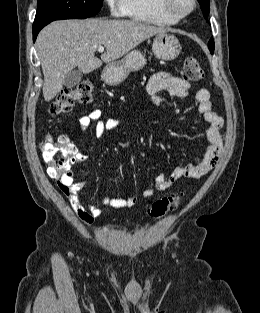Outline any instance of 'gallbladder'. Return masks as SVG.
<instances>
[{
	"label": "gallbladder",
	"mask_w": 260,
	"mask_h": 313,
	"mask_svg": "<svg viewBox=\"0 0 260 313\" xmlns=\"http://www.w3.org/2000/svg\"><path fill=\"white\" fill-rule=\"evenodd\" d=\"M82 79V73L79 70H72L66 74L63 85L67 88L76 86Z\"/></svg>",
	"instance_id": "bac80fb5"
}]
</instances>
